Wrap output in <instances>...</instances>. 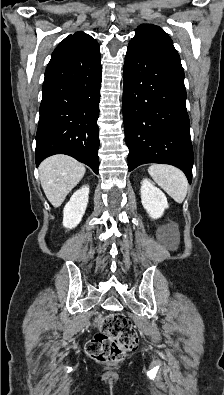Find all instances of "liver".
<instances>
[{
	"label": "liver",
	"instance_id": "obj_1",
	"mask_svg": "<svg viewBox=\"0 0 224 395\" xmlns=\"http://www.w3.org/2000/svg\"><path fill=\"white\" fill-rule=\"evenodd\" d=\"M85 166L66 155H54L39 166L41 186L49 202L59 207L67 194L81 181Z\"/></svg>",
	"mask_w": 224,
	"mask_h": 395
}]
</instances>
